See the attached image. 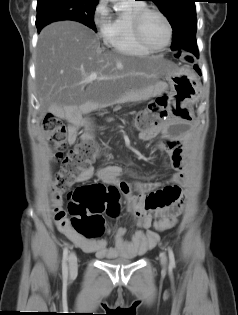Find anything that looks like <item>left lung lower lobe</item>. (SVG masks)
Returning <instances> with one entry per match:
<instances>
[{
  "label": "left lung lower lobe",
  "instance_id": "obj_1",
  "mask_svg": "<svg viewBox=\"0 0 238 315\" xmlns=\"http://www.w3.org/2000/svg\"><path fill=\"white\" fill-rule=\"evenodd\" d=\"M172 50H187L192 52L197 58L199 57L198 47L196 41H184V40H174Z\"/></svg>",
  "mask_w": 238,
  "mask_h": 315
}]
</instances>
